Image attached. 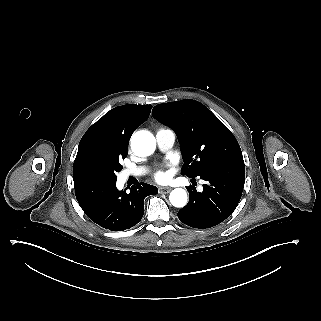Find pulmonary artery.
<instances>
[{
	"instance_id": "pulmonary-artery-1",
	"label": "pulmonary artery",
	"mask_w": 321,
	"mask_h": 321,
	"mask_svg": "<svg viewBox=\"0 0 321 321\" xmlns=\"http://www.w3.org/2000/svg\"><path fill=\"white\" fill-rule=\"evenodd\" d=\"M156 138L158 146L161 150H168L170 149L175 142L176 134L172 129L169 128H160L156 132ZM146 173V168L143 166H137L133 169H125L122 171L120 176L124 179L128 178L129 176H141Z\"/></svg>"
}]
</instances>
